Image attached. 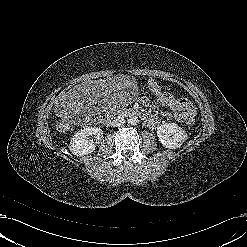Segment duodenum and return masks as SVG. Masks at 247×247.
Listing matches in <instances>:
<instances>
[{
	"mask_svg": "<svg viewBox=\"0 0 247 247\" xmlns=\"http://www.w3.org/2000/svg\"><path fill=\"white\" fill-rule=\"evenodd\" d=\"M124 114L127 116H138L140 114V112L137 109H129ZM121 115H122V113H116L114 115H111L109 118H107V121H110L113 119H118V118H120Z\"/></svg>",
	"mask_w": 247,
	"mask_h": 247,
	"instance_id": "duodenum-1",
	"label": "duodenum"
}]
</instances>
